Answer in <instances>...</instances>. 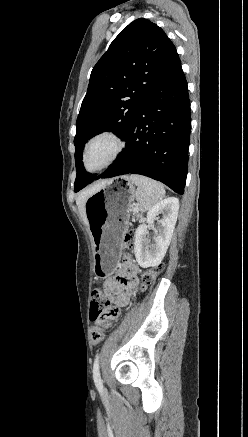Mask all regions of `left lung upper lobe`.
Listing matches in <instances>:
<instances>
[{
	"label": "left lung upper lobe",
	"mask_w": 248,
	"mask_h": 437,
	"mask_svg": "<svg viewBox=\"0 0 248 437\" xmlns=\"http://www.w3.org/2000/svg\"><path fill=\"white\" fill-rule=\"evenodd\" d=\"M177 58L164 31L144 18L131 22L113 40L91 72L76 121L75 192L96 178L82 163L85 143L104 131L124 139L144 99Z\"/></svg>",
	"instance_id": "1"
}]
</instances>
